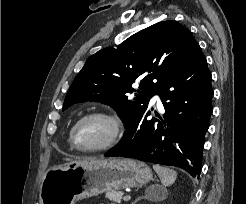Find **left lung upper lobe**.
<instances>
[{"instance_id":"obj_1","label":"left lung upper lobe","mask_w":246,"mask_h":204,"mask_svg":"<svg viewBox=\"0 0 246 204\" xmlns=\"http://www.w3.org/2000/svg\"><path fill=\"white\" fill-rule=\"evenodd\" d=\"M197 44L187 28L163 21L132 35L117 49L104 48L90 56L75 77L63 110L74 103L99 101L112 106L127 127ZM138 77L142 78L140 90L130 96Z\"/></svg>"}]
</instances>
